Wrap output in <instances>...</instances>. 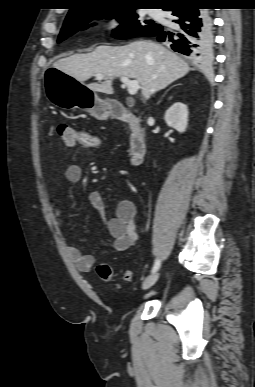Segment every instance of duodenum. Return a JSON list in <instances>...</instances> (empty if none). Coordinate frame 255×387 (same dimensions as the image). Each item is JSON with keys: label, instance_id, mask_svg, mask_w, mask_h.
I'll use <instances>...</instances> for the list:
<instances>
[{"label": "duodenum", "instance_id": "duodenum-1", "mask_svg": "<svg viewBox=\"0 0 255 387\" xmlns=\"http://www.w3.org/2000/svg\"><path fill=\"white\" fill-rule=\"evenodd\" d=\"M109 112L111 117L127 123L130 127L129 160L131 165L137 166L141 164L146 154V142L144 131L138 119L126 112L118 103L111 104Z\"/></svg>", "mask_w": 255, "mask_h": 387}]
</instances>
